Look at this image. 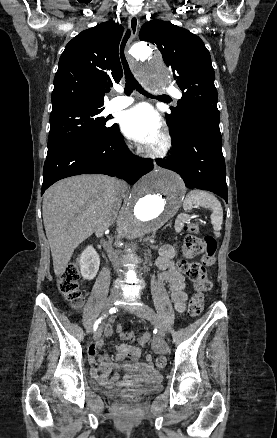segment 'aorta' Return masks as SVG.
<instances>
[{
  "label": "aorta",
  "instance_id": "762f6f07",
  "mask_svg": "<svg viewBox=\"0 0 277 438\" xmlns=\"http://www.w3.org/2000/svg\"><path fill=\"white\" fill-rule=\"evenodd\" d=\"M131 54L142 64L138 76L143 85L158 90L170 82V71L160 55L144 43H136ZM185 185L174 172L157 169L141 178L133 187L128 204L118 220L115 242L127 249L133 242L154 232L171 219L181 206Z\"/></svg>",
  "mask_w": 277,
  "mask_h": 438
}]
</instances>
